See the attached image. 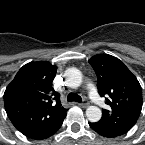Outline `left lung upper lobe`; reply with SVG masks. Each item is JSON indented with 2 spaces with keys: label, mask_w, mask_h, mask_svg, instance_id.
I'll list each match as a JSON object with an SVG mask.
<instances>
[{
  "label": "left lung upper lobe",
  "mask_w": 145,
  "mask_h": 145,
  "mask_svg": "<svg viewBox=\"0 0 145 145\" xmlns=\"http://www.w3.org/2000/svg\"><path fill=\"white\" fill-rule=\"evenodd\" d=\"M89 63L98 78V93L106 96L109 105L94 124L115 136L126 134L137 122L142 109V90L137 78L122 61L111 55H95Z\"/></svg>",
  "instance_id": "left-lung-upper-lobe-1"
}]
</instances>
